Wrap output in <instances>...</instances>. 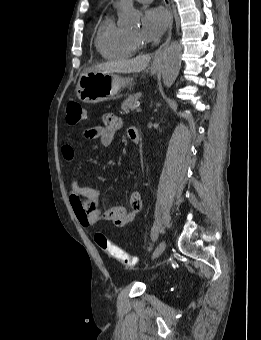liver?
<instances>
[{"mask_svg":"<svg viewBox=\"0 0 261 340\" xmlns=\"http://www.w3.org/2000/svg\"><path fill=\"white\" fill-rule=\"evenodd\" d=\"M150 59L149 55H143L130 60L110 61L95 65L90 70L108 73H136L145 70Z\"/></svg>","mask_w":261,"mask_h":340,"instance_id":"obj_1","label":"liver"}]
</instances>
